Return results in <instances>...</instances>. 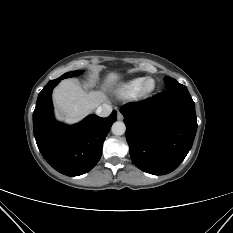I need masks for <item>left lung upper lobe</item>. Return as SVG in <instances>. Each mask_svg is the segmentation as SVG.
Segmentation results:
<instances>
[{
  "mask_svg": "<svg viewBox=\"0 0 233 233\" xmlns=\"http://www.w3.org/2000/svg\"><path fill=\"white\" fill-rule=\"evenodd\" d=\"M164 81H165V85H166L167 89L179 87L182 85V84L178 83L175 79L170 78V77H165Z\"/></svg>",
  "mask_w": 233,
  "mask_h": 233,
  "instance_id": "left-lung-upper-lobe-1",
  "label": "left lung upper lobe"
}]
</instances>
